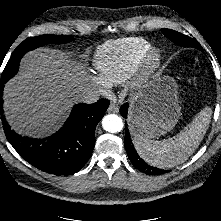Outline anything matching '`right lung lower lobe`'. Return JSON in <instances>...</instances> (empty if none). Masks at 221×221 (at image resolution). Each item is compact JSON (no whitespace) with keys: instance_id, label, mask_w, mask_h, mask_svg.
<instances>
[{"instance_id":"1","label":"right lung lower lobe","mask_w":221,"mask_h":221,"mask_svg":"<svg viewBox=\"0 0 221 221\" xmlns=\"http://www.w3.org/2000/svg\"><path fill=\"white\" fill-rule=\"evenodd\" d=\"M3 82L0 83V112L2 113ZM109 101L80 103L73 107L63 127L45 139L21 137L3 122L6 137L14 149L34 167L54 175L78 172L89 160L95 145V129L104 116Z\"/></svg>"}]
</instances>
